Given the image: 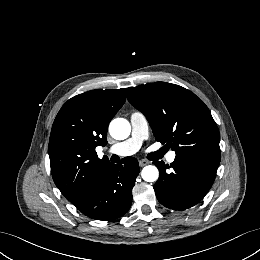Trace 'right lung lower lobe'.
Segmentation results:
<instances>
[{
    "instance_id": "obj_1",
    "label": "right lung lower lobe",
    "mask_w": 260,
    "mask_h": 260,
    "mask_svg": "<svg viewBox=\"0 0 260 260\" xmlns=\"http://www.w3.org/2000/svg\"><path fill=\"white\" fill-rule=\"evenodd\" d=\"M122 163L106 166L89 191L74 204L82 213L97 220H112L129 210L139 165L133 157L124 158Z\"/></svg>"
}]
</instances>
